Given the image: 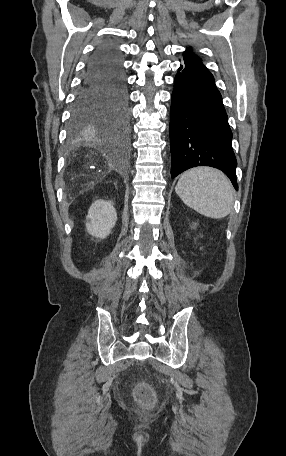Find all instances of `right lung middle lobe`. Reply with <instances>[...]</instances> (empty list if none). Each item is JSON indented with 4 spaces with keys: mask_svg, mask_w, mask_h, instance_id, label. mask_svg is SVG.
Segmentation results:
<instances>
[{
    "mask_svg": "<svg viewBox=\"0 0 286 456\" xmlns=\"http://www.w3.org/2000/svg\"><path fill=\"white\" fill-rule=\"evenodd\" d=\"M113 129L116 130L117 132H119L120 134H122V133L127 129V126H126V125H123V124H118V125H115V126L113 127ZM91 130L107 131L108 129H107V128L100 127V126H98V125H93V126H91L90 128L83 130L82 132L91 131ZM129 131H130V128H129V130H128L127 135H126V136H122V139L124 140V142H126V141L128 140Z\"/></svg>",
    "mask_w": 286,
    "mask_h": 456,
    "instance_id": "obj_1",
    "label": "right lung middle lobe"
}]
</instances>
